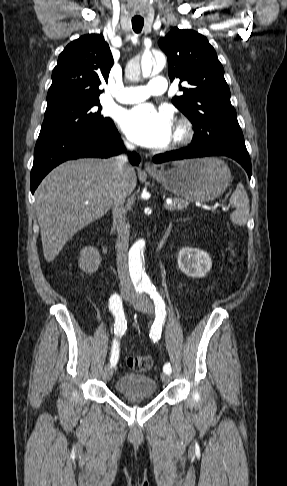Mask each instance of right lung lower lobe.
<instances>
[{
  "label": "right lung lower lobe",
  "instance_id": "1",
  "mask_svg": "<svg viewBox=\"0 0 287 486\" xmlns=\"http://www.w3.org/2000/svg\"><path fill=\"white\" fill-rule=\"evenodd\" d=\"M124 150L125 147L113 122L104 129L90 134L38 139L31 170V192L34 193L48 172L66 160L84 157L108 158ZM129 159L133 165L140 162V157L135 152L130 154Z\"/></svg>",
  "mask_w": 287,
  "mask_h": 486
}]
</instances>
